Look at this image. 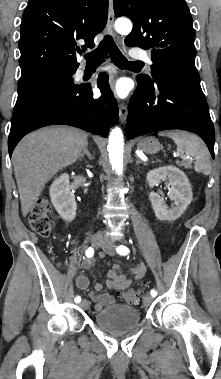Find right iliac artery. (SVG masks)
<instances>
[{
	"label": "right iliac artery",
	"mask_w": 221,
	"mask_h": 379,
	"mask_svg": "<svg viewBox=\"0 0 221 379\" xmlns=\"http://www.w3.org/2000/svg\"><path fill=\"white\" fill-rule=\"evenodd\" d=\"M85 254H86V256H87L88 258L92 257V256L94 255V249L91 248V247H89V248L86 250ZM80 301H81V297H80V296H76V297H75V302H76V303H79Z\"/></svg>",
	"instance_id": "right-iliac-artery-1"
}]
</instances>
